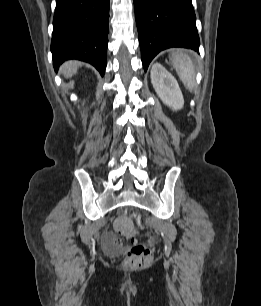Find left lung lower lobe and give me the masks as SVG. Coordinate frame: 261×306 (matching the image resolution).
Returning a JSON list of instances; mask_svg holds the SVG:
<instances>
[{
	"instance_id": "1",
	"label": "left lung lower lobe",
	"mask_w": 261,
	"mask_h": 306,
	"mask_svg": "<svg viewBox=\"0 0 261 306\" xmlns=\"http://www.w3.org/2000/svg\"><path fill=\"white\" fill-rule=\"evenodd\" d=\"M134 8L145 71L152 59L164 49L183 47L199 50L191 0H134Z\"/></svg>"
}]
</instances>
